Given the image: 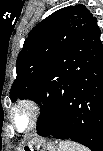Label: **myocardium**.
<instances>
[{
	"instance_id": "obj_1",
	"label": "myocardium",
	"mask_w": 103,
	"mask_h": 151,
	"mask_svg": "<svg viewBox=\"0 0 103 151\" xmlns=\"http://www.w3.org/2000/svg\"><path fill=\"white\" fill-rule=\"evenodd\" d=\"M20 110L26 111L30 116V123L28 127L23 130L17 128L14 120L15 113ZM8 118L10 124L17 132L21 134H28L34 131L41 122L42 119L41 106L38 103V101L32 97H27V96L21 97L16 102H14L13 105L10 107L8 112Z\"/></svg>"
}]
</instances>
